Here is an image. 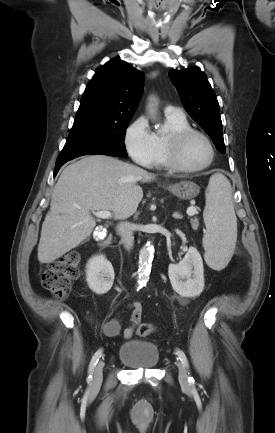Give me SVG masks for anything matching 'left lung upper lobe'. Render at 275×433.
I'll use <instances>...</instances> for the list:
<instances>
[{"label": "left lung upper lobe", "mask_w": 275, "mask_h": 433, "mask_svg": "<svg viewBox=\"0 0 275 433\" xmlns=\"http://www.w3.org/2000/svg\"><path fill=\"white\" fill-rule=\"evenodd\" d=\"M169 76L188 114L210 136L217 149L225 153L219 104L206 74L194 66L171 70Z\"/></svg>", "instance_id": "obj_1"}]
</instances>
